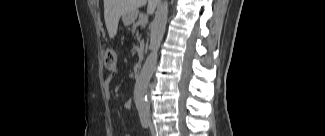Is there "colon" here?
Segmentation results:
<instances>
[{"mask_svg":"<svg viewBox=\"0 0 325 136\" xmlns=\"http://www.w3.org/2000/svg\"><path fill=\"white\" fill-rule=\"evenodd\" d=\"M104 66L109 71H115L118 62V53L115 47L106 45L103 49Z\"/></svg>","mask_w":325,"mask_h":136,"instance_id":"1","label":"colon"}]
</instances>
